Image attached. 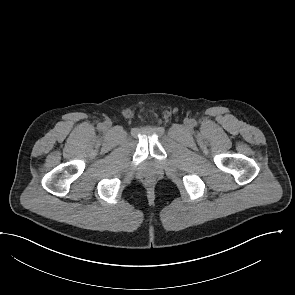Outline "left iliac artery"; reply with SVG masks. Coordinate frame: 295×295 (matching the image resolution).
Wrapping results in <instances>:
<instances>
[{"label":"left iliac artery","mask_w":295,"mask_h":295,"mask_svg":"<svg viewBox=\"0 0 295 295\" xmlns=\"http://www.w3.org/2000/svg\"><path fill=\"white\" fill-rule=\"evenodd\" d=\"M196 122L194 120H192V124H195Z\"/></svg>","instance_id":"obj_1"}]
</instances>
